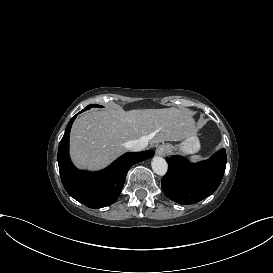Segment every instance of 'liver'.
<instances>
[{
  "label": "liver",
  "instance_id": "6515ba94",
  "mask_svg": "<svg viewBox=\"0 0 273 273\" xmlns=\"http://www.w3.org/2000/svg\"><path fill=\"white\" fill-rule=\"evenodd\" d=\"M198 127L193 112L182 108L124 111L107 108L78 118L70 136L71 157L78 168L97 170L126 151L125 143L144 139L149 144L193 140Z\"/></svg>",
  "mask_w": 273,
  "mask_h": 273
}]
</instances>
